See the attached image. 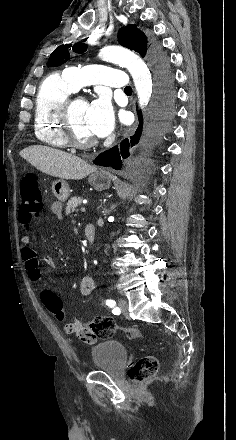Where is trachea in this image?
<instances>
[{"mask_svg": "<svg viewBox=\"0 0 236 440\" xmlns=\"http://www.w3.org/2000/svg\"><path fill=\"white\" fill-rule=\"evenodd\" d=\"M125 91H132V88L128 86L127 88H125Z\"/></svg>", "mask_w": 236, "mask_h": 440, "instance_id": "obj_1", "label": "trachea"}]
</instances>
